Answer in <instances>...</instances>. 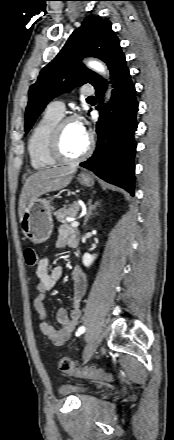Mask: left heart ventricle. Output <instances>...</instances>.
Instances as JSON below:
<instances>
[{
	"label": "left heart ventricle",
	"instance_id": "1",
	"mask_svg": "<svg viewBox=\"0 0 174 440\" xmlns=\"http://www.w3.org/2000/svg\"><path fill=\"white\" fill-rule=\"evenodd\" d=\"M88 136L82 134L75 122L67 123L62 132V150L70 158L80 155L86 148Z\"/></svg>",
	"mask_w": 174,
	"mask_h": 440
}]
</instances>
